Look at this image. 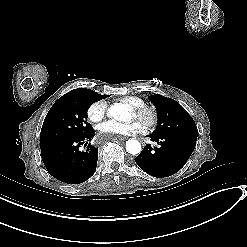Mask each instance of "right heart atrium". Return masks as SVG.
<instances>
[{"label":"right heart atrium","mask_w":247,"mask_h":247,"mask_svg":"<svg viewBox=\"0 0 247 247\" xmlns=\"http://www.w3.org/2000/svg\"><path fill=\"white\" fill-rule=\"evenodd\" d=\"M107 113V105L103 100L93 102L87 109V115L90 121L99 122Z\"/></svg>","instance_id":"right-heart-atrium-1"}]
</instances>
